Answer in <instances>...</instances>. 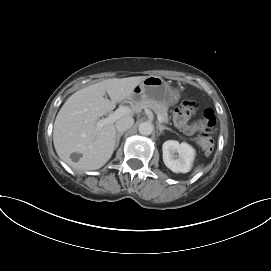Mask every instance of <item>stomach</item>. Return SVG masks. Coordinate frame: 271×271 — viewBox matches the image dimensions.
<instances>
[{"instance_id":"1","label":"stomach","mask_w":271,"mask_h":271,"mask_svg":"<svg viewBox=\"0 0 271 271\" xmlns=\"http://www.w3.org/2000/svg\"><path fill=\"white\" fill-rule=\"evenodd\" d=\"M179 97L178 89L171 87L161 77L151 75L136 86L132 100H152L168 107L174 105Z\"/></svg>"}]
</instances>
